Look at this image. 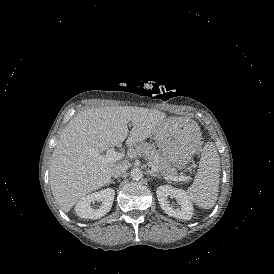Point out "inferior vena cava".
<instances>
[{
    "mask_svg": "<svg viewBox=\"0 0 274 274\" xmlns=\"http://www.w3.org/2000/svg\"><path fill=\"white\" fill-rule=\"evenodd\" d=\"M126 170H127V166L126 165H124V164H118L112 170L111 175H112L113 178H119V177H121L122 175L125 174Z\"/></svg>",
    "mask_w": 274,
    "mask_h": 274,
    "instance_id": "obj_1",
    "label": "inferior vena cava"
}]
</instances>
